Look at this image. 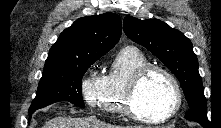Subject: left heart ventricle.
<instances>
[{"label": "left heart ventricle", "mask_w": 221, "mask_h": 128, "mask_svg": "<svg viewBox=\"0 0 221 128\" xmlns=\"http://www.w3.org/2000/svg\"><path fill=\"white\" fill-rule=\"evenodd\" d=\"M172 103L171 85L161 72H154L143 81L135 101L137 109L150 117L165 113Z\"/></svg>", "instance_id": "left-heart-ventricle-1"}]
</instances>
